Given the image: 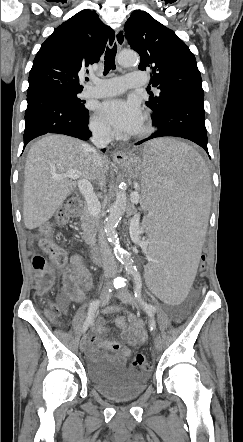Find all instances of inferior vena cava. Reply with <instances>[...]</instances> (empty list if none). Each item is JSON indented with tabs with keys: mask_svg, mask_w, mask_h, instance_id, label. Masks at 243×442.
<instances>
[{
	"mask_svg": "<svg viewBox=\"0 0 243 442\" xmlns=\"http://www.w3.org/2000/svg\"><path fill=\"white\" fill-rule=\"evenodd\" d=\"M91 131H92L91 141L98 148V149H94V153H93L94 162L98 166V175H99L98 181H99L101 188H103L105 186V176L103 175L102 171L99 169V166L102 161V155H101L99 149L107 147V145L112 140V135H111L110 129L108 127H105L102 125L93 126L91 128ZM98 247H99L100 255L102 258L103 269H104L105 275L107 277L114 276L117 273V265H116L114 256L112 254V251L110 250V248L105 240V236H104V232H103L102 228H100V230H99Z\"/></svg>",
	"mask_w": 243,
	"mask_h": 442,
	"instance_id": "inferior-vena-cava-1",
	"label": "inferior vena cava"
}]
</instances>
